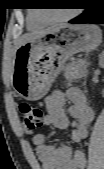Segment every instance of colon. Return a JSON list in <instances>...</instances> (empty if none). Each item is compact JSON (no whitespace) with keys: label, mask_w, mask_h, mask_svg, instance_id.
Wrapping results in <instances>:
<instances>
[{"label":"colon","mask_w":104,"mask_h":169,"mask_svg":"<svg viewBox=\"0 0 104 169\" xmlns=\"http://www.w3.org/2000/svg\"><path fill=\"white\" fill-rule=\"evenodd\" d=\"M19 114L26 130L30 133L36 132L42 125V110L28 103L19 105Z\"/></svg>","instance_id":"colon-1"}]
</instances>
